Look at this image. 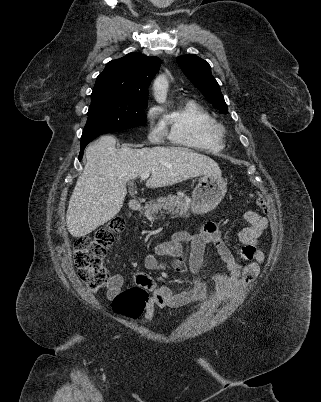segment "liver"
Instances as JSON below:
<instances>
[{"mask_svg":"<svg viewBox=\"0 0 321 402\" xmlns=\"http://www.w3.org/2000/svg\"><path fill=\"white\" fill-rule=\"evenodd\" d=\"M103 136L86 149L87 163L69 201L66 224L73 237H83L115 217L127 194L126 182L151 173L146 187L159 188L205 174H219L210 157L183 147L115 148Z\"/></svg>","mask_w":321,"mask_h":402,"instance_id":"1","label":"liver"}]
</instances>
